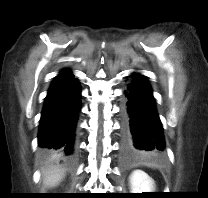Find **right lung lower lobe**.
I'll use <instances>...</instances> for the list:
<instances>
[{
    "label": "right lung lower lobe",
    "mask_w": 208,
    "mask_h": 198,
    "mask_svg": "<svg viewBox=\"0 0 208 198\" xmlns=\"http://www.w3.org/2000/svg\"><path fill=\"white\" fill-rule=\"evenodd\" d=\"M80 103L79 82L63 70L52 81L41 114L38 145L44 153L57 159L72 157Z\"/></svg>",
    "instance_id": "right-lung-lower-lobe-1"
}]
</instances>
